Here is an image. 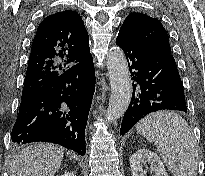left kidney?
Masks as SVG:
<instances>
[{"label": "left kidney", "mask_w": 205, "mask_h": 176, "mask_svg": "<svg viewBox=\"0 0 205 176\" xmlns=\"http://www.w3.org/2000/svg\"><path fill=\"white\" fill-rule=\"evenodd\" d=\"M150 165L153 176H168V173L156 153L148 149L137 150L130 158L132 176H147L143 166Z\"/></svg>", "instance_id": "1"}]
</instances>
